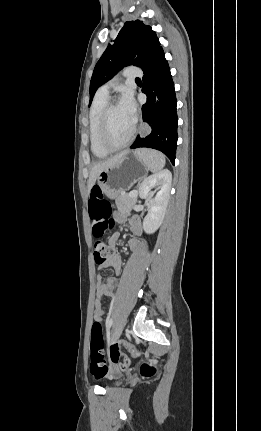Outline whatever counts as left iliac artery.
<instances>
[{"label": "left iliac artery", "mask_w": 261, "mask_h": 431, "mask_svg": "<svg viewBox=\"0 0 261 431\" xmlns=\"http://www.w3.org/2000/svg\"><path fill=\"white\" fill-rule=\"evenodd\" d=\"M112 323H113V319L112 318H108L107 321H106V330H107V332L110 331Z\"/></svg>", "instance_id": "obj_1"}]
</instances>
